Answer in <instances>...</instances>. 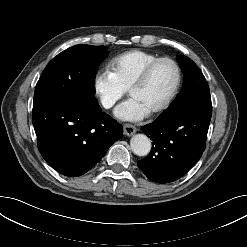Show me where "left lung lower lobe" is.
I'll list each match as a JSON object with an SVG mask.
<instances>
[{
    "label": "left lung lower lobe",
    "instance_id": "1",
    "mask_svg": "<svg viewBox=\"0 0 247 247\" xmlns=\"http://www.w3.org/2000/svg\"><path fill=\"white\" fill-rule=\"evenodd\" d=\"M211 114L210 92L203 91L143 126L142 131L153 142L151 152L138 161V167L156 183L183 177L202 156Z\"/></svg>",
    "mask_w": 247,
    "mask_h": 247
}]
</instances>
